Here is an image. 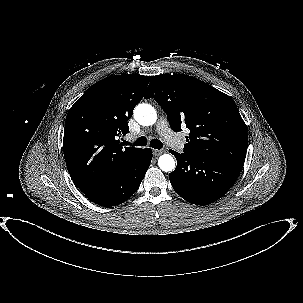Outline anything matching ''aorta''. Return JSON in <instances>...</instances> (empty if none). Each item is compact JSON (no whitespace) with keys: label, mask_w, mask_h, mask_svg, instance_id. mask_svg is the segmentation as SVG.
Instances as JSON below:
<instances>
[{"label":"aorta","mask_w":303,"mask_h":303,"mask_svg":"<svg viewBox=\"0 0 303 303\" xmlns=\"http://www.w3.org/2000/svg\"><path fill=\"white\" fill-rule=\"evenodd\" d=\"M134 118L140 125L151 126L157 120V113L154 107L142 103L134 109ZM158 166L164 172H171L175 169V160L170 154H163L158 159Z\"/></svg>","instance_id":"762f6f07"}]
</instances>
